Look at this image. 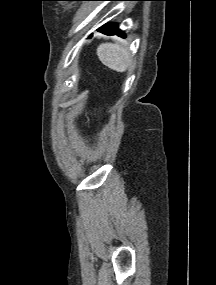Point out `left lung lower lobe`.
<instances>
[{"instance_id":"left-lung-lower-lobe-1","label":"left lung lower lobe","mask_w":216,"mask_h":285,"mask_svg":"<svg viewBox=\"0 0 216 285\" xmlns=\"http://www.w3.org/2000/svg\"><path fill=\"white\" fill-rule=\"evenodd\" d=\"M98 32H101L106 35H118L120 37H125L124 32H122L116 24L110 23L105 24L97 29Z\"/></svg>"}]
</instances>
